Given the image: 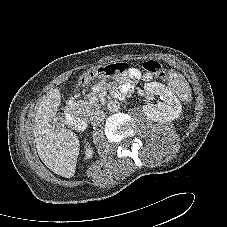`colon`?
<instances>
[{"label": "colon", "instance_id": "colon-1", "mask_svg": "<svg viewBox=\"0 0 227 227\" xmlns=\"http://www.w3.org/2000/svg\"><path fill=\"white\" fill-rule=\"evenodd\" d=\"M126 69H127L126 63H115L93 68L79 77L76 83V89L83 90L95 78L100 77L111 78L119 76L120 74L124 73ZM143 69L148 77L152 76L160 78L166 77V72L163 70L162 66L157 61L148 60L144 62Z\"/></svg>", "mask_w": 227, "mask_h": 227}]
</instances>
